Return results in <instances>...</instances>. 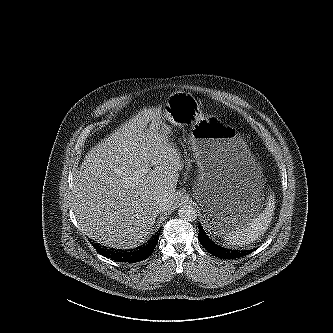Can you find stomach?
Masks as SVG:
<instances>
[{
    "mask_svg": "<svg viewBox=\"0 0 333 333\" xmlns=\"http://www.w3.org/2000/svg\"><path fill=\"white\" fill-rule=\"evenodd\" d=\"M175 125L191 122L189 141L199 168L194 197L203 212V227L220 243L266 210L270 190L262 181L261 168L244 139L218 119L203 118L189 93L171 94L155 128L170 137Z\"/></svg>",
    "mask_w": 333,
    "mask_h": 333,
    "instance_id": "1",
    "label": "stomach"
}]
</instances>
